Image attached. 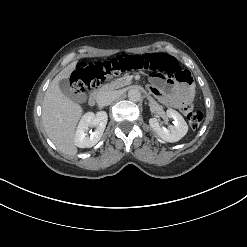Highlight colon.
<instances>
[{
    "label": "colon",
    "instance_id": "colon-1",
    "mask_svg": "<svg viewBox=\"0 0 247 247\" xmlns=\"http://www.w3.org/2000/svg\"><path fill=\"white\" fill-rule=\"evenodd\" d=\"M133 70L167 76L182 84H192L187 70L180 67L178 61L166 53L121 56L105 62H81L71 77V87L76 94H81L98 87L107 77ZM187 119L192 129H197L202 120L201 111H189Z\"/></svg>",
    "mask_w": 247,
    "mask_h": 247
}]
</instances>
